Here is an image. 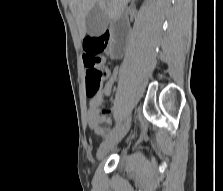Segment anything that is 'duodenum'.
Masks as SVG:
<instances>
[{
	"instance_id": "410a0bca",
	"label": "duodenum",
	"mask_w": 223,
	"mask_h": 191,
	"mask_svg": "<svg viewBox=\"0 0 223 191\" xmlns=\"http://www.w3.org/2000/svg\"><path fill=\"white\" fill-rule=\"evenodd\" d=\"M116 35L120 39V42L115 50L112 52L113 57H118L123 51L124 41L126 40V37L128 35V27L126 25V22H122L120 25L117 26Z\"/></svg>"
}]
</instances>
